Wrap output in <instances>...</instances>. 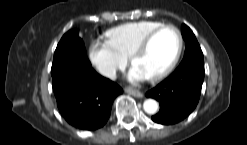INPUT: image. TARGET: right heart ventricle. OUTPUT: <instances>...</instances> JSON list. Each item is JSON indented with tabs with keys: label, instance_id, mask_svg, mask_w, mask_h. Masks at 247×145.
<instances>
[{
	"label": "right heart ventricle",
	"instance_id": "obj_1",
	"mask_svg": "<svg viewBox=\"0 0 247 145\" xmlns=\"http://www.w3.org/2000/svg\"><path fill=\"white\" fill-rule=\"evenodd\" d=\"M161 25L162 23L158 21L128 22L109 29L106 36L108 41L127 57L150 31Z\"/></svg>",
	"mask_w": 247,
	"mask_h": 145
}]
</instances>
